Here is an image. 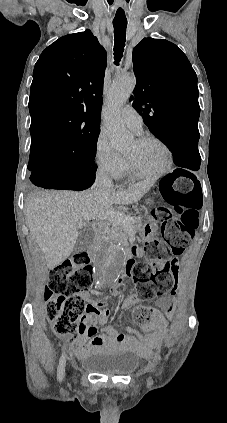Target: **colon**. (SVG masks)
<instances>
[{"mask_svg":"<svg viewBox=\"0 0 227 423\" xmlns=\"http://www.w3.org/2000/svg\"><path fill=\"white\" fill-rule=\"evenodd\" d=\"M159 191L165 205L159 206L154 214L161 221L162 232L172 254L177 256L188 246L198 227V211L202 207L201 188L191 174L173 173L159 181ZM143 253L151 263L129 259L126 268L138 286V297L151 300L173 289L180 263L168 256L166 248L158 240L146 243ZM92 281V267L85 253L75 254L50 273L45 291L47 317L54 331L69 341L80 331V322L87 306L82 295L90 289ZM117 290H120V286ZM152 314V309L140 307L134 313V320L139 325H145L150 322Z\"/></svg>","mask_w":227,"mask_h":423,"instance_id":"colon-1","label":"colon"}]
</instances>
